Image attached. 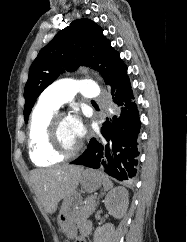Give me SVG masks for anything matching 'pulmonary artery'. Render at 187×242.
I'll return each instance as SVG.
<instances>
[{"mask_svg":"<svg viewBox=\"0 0 187 242\" xmlns=\"http://www.w3.org/2000/svg\"><path fill=\"white\" fill-rule=\"evenodd\" d=\"M77 93L87 98H96L99 95V88L92 80L62 79L44 90L40 102L57 110Z\"/></svg>","mask_w":187,"mask_h":242,"instance_id":"1","label":"pulmonary artery"}]
</instances>
